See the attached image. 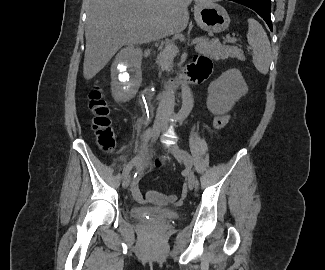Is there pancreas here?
<instances>
[{
	"mask_svg": "<svg viewBox=\"0 0 325 270\" xmlns=\"http://www.w3.org/2000/svg\"><path fill=\"white\" fill-rule=\"evenodd\" d=\"M196 51L201 54L208 55L215 60L237 58L240 61H245V56L242 49L235 46L222 45L217 39L209 40L207 38L198 39ZM177 47L172 44H167L163 51L160 52L157 58V64L162 70L169 71L172 68L174 57L177 55Z\"/></svg>",
	"mask_w": 325,
	"mask_h": 270,
	"instance_id": "obj_1",
	"label": "pancreas"
}]
</instances>
